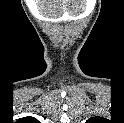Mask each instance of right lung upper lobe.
Wrapping results in <instances>:
<instances>
[{
  "mask_svg": "<svg viewBox=\"0 0 124 123\" xmlns=\"http://www.w3.org/2000/svg\"><path fill=\"white\" fill-rule=\"evenodd\" d=\"M24 121H30V122H35L36 121V119H34V118H32V117H26V118H24Z\"/></svg>",
  "mask_w": 124,
  "mask_h": 123,
  "instance_id": "cb5924a9",
  "label": "right lung upper lobe"
}]
</instances>
